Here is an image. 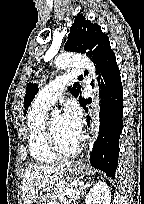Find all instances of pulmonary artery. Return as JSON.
I'll use <instances>...</instances> for the list:
<instances>
[{
  "mask_svg": "<svg viewBox=\"0 0 144 204\" xmlns=\"http://www.w3.org/2000/svg\"><path fill=\"white\" fill-rule=\"evenodd\" d=\"M80 73V70H73L52 80L40 90L36 101L48 107L53 106L57 98L61 95L65 85L75 79Z\"/></svg>",
  "mask_w": 144,
  "mask_h": 204,
  "instance_id": "e3ab8cb5",
  "label": "pulmonary artery"
}]
</instances>
